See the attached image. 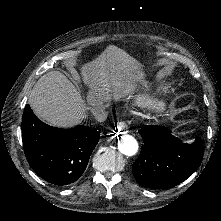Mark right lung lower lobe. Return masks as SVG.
I'll return each mask as SVG.
<instances>
[{
  "instance_id": "obj_1",
  "label": "right lung lower lobe",
  "mask_w": 221,
  "mask_h": 221,
  "mask_svg": "<svg viewBox=\"0 0 221 221\" xmlns=\"http://www.w3.org/2000/svg\"><path fill=\"white\" fill-rule=\"evenodd\" d=\"M99 132L88 126L62 129L40 121L29 105L22 118L25 156L32 169L54 185L75 182L84 172L98 143Z\"/></svg>"
}]
</instances>
